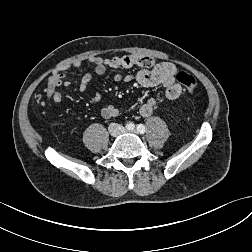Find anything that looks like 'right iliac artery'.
<instances>
[{
	"label": "right iliac artery",
	"mask_w": 252,
	"mask_h": 252,
	"mask_svg": "<svg viewBox=\"0 0 252 252\" xmlns=\"http://www.w3.org/2000/svg\"><path fill=\"white\" fill-rule=\"evenodd\" d=\"M134 124H132V123H128V124H126V128L128 129V130H132V129H134Z\"/></svg>",
	"instance_id": "1"
}]
</instances>
